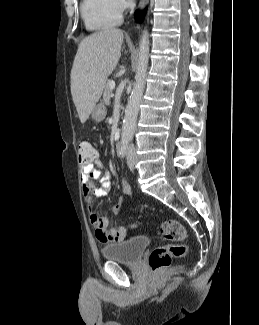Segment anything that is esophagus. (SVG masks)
Segmentation results:
<instances>
[{"label":"esophagus","mask_w":259,"mask_h":325,"mask_svg":"<svg viewBox=\"0 0 259 325\" xmlns=\"http://www.w3.org/2000/svg\"><path fill=\"white\" fill-rule=\"evenodd\" d=\"M146 3H147V0H141L140 5H139L140 9H143L145 7Z\"/></svg>","instance_id":"34e87169"}]
</instances>
